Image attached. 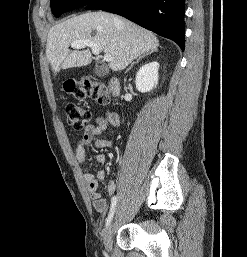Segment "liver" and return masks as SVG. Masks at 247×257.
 Returning a JSON list of instances; mask_svg holds the SVG:
<instances>
[{
    "label": "liver",
    "mask_w": 247,
    "mask_h": 257,
    "mask_svg": "<svg viewBox=\"0 0 247 257\" xmlns=\"http://www.w3.org/2000/svg\"><path fill=\"white\" fill-rule=\"evenodd\" d=\"M79 40H91L105 55H111L109 67L113 71L125 69L135 58L159 46L154 33L127 19L101 11L85 13L50 29L46 55L54 73L92 62L89 49L69 50L71 43Z\"/></svg>",
    "instance_id": "liver-1"
}]
</instances>
